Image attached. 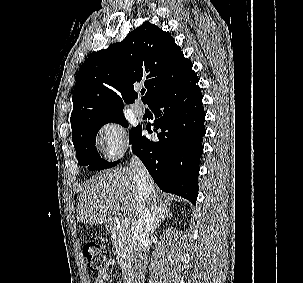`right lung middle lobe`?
I'll return each instance as SVG.
<instances>
[{
  "label": "right lung middle lobe",
  "mask_w": 303,
  "mask_h": 283,
  "mask_svg": "<svg viewBox=\"0 0 303 283\" xmlns=\"http://www.w3.org/2000/svg\"><path fill=\"white\" fill-rule=\"evenodd\" d=\"M115 122L124 127L128 123L124 116H120L110 120L92 121L80 126L74 133H72V140L76 150V156L80 165L88 166L89 170H103L115 166L117 162H107L102 159L95 146L96 134L99 129L106 123ZM141 130L138 126L130 131V144L133 143L135 137Z\"/></svg>",
  "instance_id": "right-lung-middle-lobe-1"
}]
</instances>
